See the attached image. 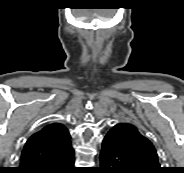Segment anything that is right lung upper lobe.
I'll return each mask as SVG.
<instances>
[{"instance_id":"obj_1","label":"right lung upper lobe","mask_w":184,"mask_h":173,"mask_svg":"<svg viewBox=\"0 0 184 173\" xmlns=\"http://www.w3.org/2000/svg\"><path fill=\"white\" fill-rule=\"evenodd\" d=\"M68 129L52 123L32 135L26 142L20 167L57 158L72 150Z\"/></svg>"}]
</instances>
